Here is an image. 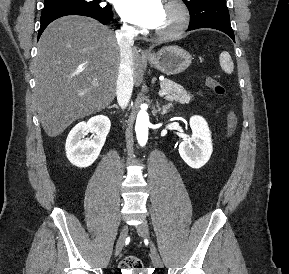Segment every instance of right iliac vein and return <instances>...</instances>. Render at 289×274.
<instances>
[{"mask_svg": "<svg viewBox=\"0 0 289 274\" xmlns=\"http://www.w3.org/2000/svg\"><path fill=\"white\" fill-rule=\"evenodd\" d=\"M128 234V227L124 226L116 242L115 254L119 255L123 249Z\"/></svg>", "mask_w": 289, "mask_h": 274, "instance_id": "63e3f726", "label": "right iliac vein"}]
</instances>
